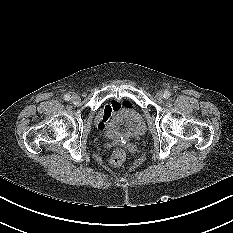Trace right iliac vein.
<instances>
[{"label":"right iliac vein","mask_w":233,"mask_h":233,"mask_svg":"<svg viewBox=\"0 0 233 233\" xmlns=\"http://www.w3.org/2000/svg\"><path fill=\"white\" fill-rule=\"evenodd\" d=\"M71 100H72V102L77 103L80 101V96L78 94L74 93L71 96Z\"/></svg>","instance_id":"63e3f726"}]
</instances>
